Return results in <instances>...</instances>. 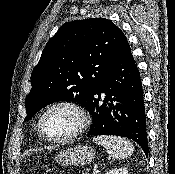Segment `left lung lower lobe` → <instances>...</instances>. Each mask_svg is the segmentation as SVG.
Wrapping results in <instances>:
<instances>
[{
  "instance_id": "left-lung-lower-lobe-1",
  "label": "left lung lower lobe",
  "mask_w": 175,
  "mask_h": 174,
  "mask_svg": "<svg viewBox=\"0 0 175 174\" xmlns=\"http://www.w3.org/2000/svg\"><path fill=\"white\" fill-rule=\"evenodd\" d=\"M86 109L93 118L87 135L126 137L137 142L148 155L141 77L129 45L94 88Z\"/></svg>"
}]
</instances>
